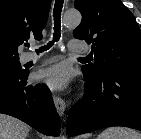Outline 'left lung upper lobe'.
<instances>
[{
  "label": "left lung upper lobe",
  "mask_w": 141,
  "mask_h": 139,
  "mask_svg": "<svg viewBox=\"0 0 141 139\" xmlns=\"http://www.w3.org/2000/svg\"><path fill=\"white\" fill-rule=\"evenodd\" d=\"M75 8L82 21L73 35L92 44L95 59L83 71L92 75L108 69L141 72V32L120 0H76Z\"/></svg>",
  "instance_id": "5c2ea615"
}]
</instances>
